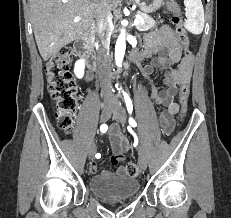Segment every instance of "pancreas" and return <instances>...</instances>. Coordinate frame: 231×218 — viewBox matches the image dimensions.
<instances>
[{
    "mask_svg": "<svg viewBox=\"0 0 231 218\" xmlns=\"http://www.w3.org/2000/svg\"><path fill=\"white\" fill-rule=\"evenodd\" d=\"M139 16L143 19V23H140L137 26L139 31H148L149 29L156 27V22L153 20L152 17L148 16L145 13L138 12Z\"/></svg>",
    "mask_w": 231,
    "mask_h": 218,
    "instance_id": "pancreas-1",
    "label": "pancreas"
}]
</instances>
